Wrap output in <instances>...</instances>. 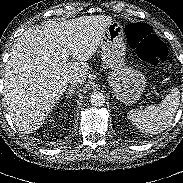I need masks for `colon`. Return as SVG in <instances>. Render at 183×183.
Returning a JSON list of instances; mask_svg holds the SVG:
<instances>
[{
  "mask_svg": "<svg viewBox=\"0 0 183 183\" xmlns=\"http://www.w3.org/2000/svg\"><path fill=\"white\" fill-rule=\"evenodd\" d=\"M125 34L138 56L151 65L161 68L168 59L167 46L152 33L149 25L141 22L126 26Z\"/></svg>",
  "mask_w": 183,
  "mask_h": 183,
  "instance_id": "5ec220e1",
  "label": "colon"
}]
</instances>
